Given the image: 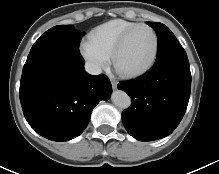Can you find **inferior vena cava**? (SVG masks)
<instances>
[{
  "label": "inferior vena cava",
  "mask_w": 219,
  "mask_h": 174,
  "mask_svg": "<svg viewBox=\"0 0 219 174\" xmlns=\"http://www.w3.org/2000/svg\"><path fill=\"white\" fill-rule=\"evenodd\" d=\"M85 70L91 75H98L102 73L100 66L93 62H86Z\"/></svg>",
  "instance_id": "1"
}]
</instances>
